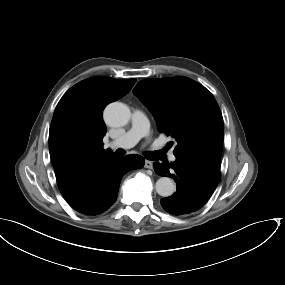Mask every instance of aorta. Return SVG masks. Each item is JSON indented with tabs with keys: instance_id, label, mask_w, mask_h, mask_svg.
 Returning a JSON list of instances; mask_svg holds the SVG:
<instances>
[{
	"instance_id": "obj_1",
	"label": "aorta",
	"mask_w": 285,
	"mask_h": 285,
	"mask_svg": "<svg viewBox=\"0 0 285 285\" xmlns=\"http://www.w3.org/2000/svg\"><path fill=\"white\" fill-rule=\"evenodd\" d=\"M130 115L129 108L121 102L111 103L104 110L106 123L113 127L126 125L130 120ZM155 190L160 196L169 197L175 192L176 185L172 179L161 177L156 182Z\"/></svg>"
}]
</instances>
